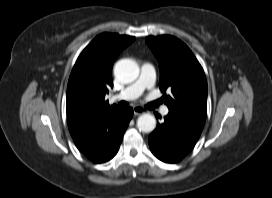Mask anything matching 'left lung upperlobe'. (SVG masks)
Segmentation results:
<instances>
[{
    "label": "left lung upper lobe",
    "mask_w": 272,
    "mask_h": 198,
    "mask_svg": "<svg viewBox=\"0 0 272 198\" xmlns=\"http://www.w3.org/2000/svg\"><path fill=\"white\" fill-rule=\"evenodd\" d=\"M145 41L159 62L161 91L171 90L161 98L169 110L206 119L207 80L191 50L170 35L148 36Z\"/></svg>",
    "instance_id": "left-lung-upper-lobe-1"
}]
</instances>
